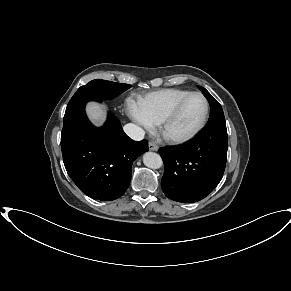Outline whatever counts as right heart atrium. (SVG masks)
Wrapping results in <instances>:
<instances>
[{"mask_svg":"<svg viewBox=\"0 0 291 291\" xmlns=\"http://www.w3.org/2000/svg\"><path fill=\"white\" fill-rule=\"evenodd\" d=\"M127 112L132 120L144 128L151 129L153 127V123L146 117L138 103L129 100L127 102Z\"/></svg>","mask_w":291,"mask_h":291,"instance_id":"1","label":"right heart atrium"}]
</instances>
